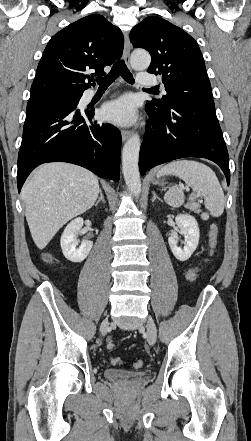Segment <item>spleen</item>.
<instances>
[{
    "mask_svg": "<svg viewBox=\"0 0 251 441\" xmlns=\"http://www.w3.org/2000/svg\"><path fill=\"white\" fill-rule=\"evenodd\" d=\"M171 174L176 175L192 188L189 201L194 203L202 196L205 208L213 217L222 215L225 196L216 174L210 167L194 160H176L161 167L157 177ZM164 200L172 207H180L185 201L184 192L177 185L172 186L165 193Z\"/></svg>",
    "mask_w": 251,
    "mask_h": 441,
    "instance_id": "1",
    "label": "spleen"
}]
</instances>
